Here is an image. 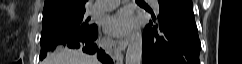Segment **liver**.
<instances>
[{"mask_svg":"<svg viewBox=\"0 0 242 64\" xmlns=\"http://www.w3.org/2000/svg\"><path fill=\"white\" fill-rule=\"evenodd\" d=\"M43 64H100L94 57L82 51L68 48H59L47 55Z\"/></svg>","mask_w":242,"mask_h":64,"instance_id":"6515ba94","label":"liver"}]
</instances>
